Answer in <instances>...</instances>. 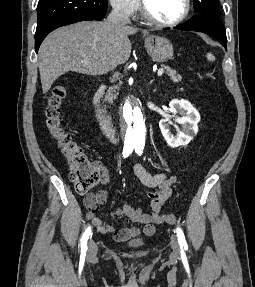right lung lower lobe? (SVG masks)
Masks as SVG:
<instances>
[{
    "label": "right lung lower lobe",
    "instance_id": "1",
    "mask_svg": "<svg viewBox=\"0 0 255 287\" xmlns=\"http://www.w3.org/2000/svg\"><path fill=\"white\" fill-rule=\"evenodd\" d=\"M84 20L92 21V19H89L83 16L71 15V16L59 17V18L38 24L36 33H35V51L38 52L40 44L42 43L44 38L54 29L61 27V26L68 25V24H72L75 22L84 21Z\"/></svg>",
    "mask_w": 255,
    "mask_h": 287
}]
</instances>
